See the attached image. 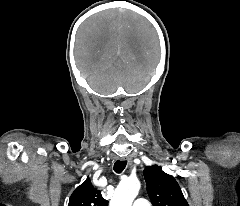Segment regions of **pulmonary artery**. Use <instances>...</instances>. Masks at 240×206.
Listing matches in <instances>:
<instances>
[{"instance_id":"1","label":"pulmonary artery","mask_w":240,"mask_h":206,"mask_svg":"<svg viewBox=\"0 0 240 206\" xmlns=\"http://www.w3.org/2000/svg\"><path fill=\"white\" fill-rule=\"evenodd\" d=\"M133 206H151L149 201L144 198H138L134 201Z\"/></svg>"}]
</instances>
